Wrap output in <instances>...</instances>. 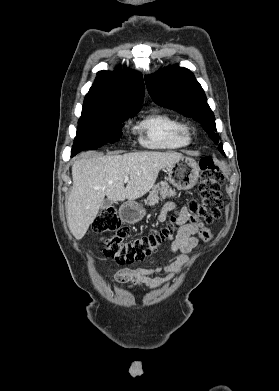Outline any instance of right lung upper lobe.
<instances>
[{
  "instance_id": "cb5924a9",
  "label": "right lung upper lobe",
  "mask_w": 279,
  "mask_h": 391,
  "mask_svg": "<svg viewBox=\"0 0 279 391\" xmlns=\"http://www.w3.org/2000/svg\"><path fill=\"white\" fill-rule=\"evenodd\" d=\"M144 97L142 75L117 67L115 71H100L86 94L82 113L140 109Z\"/></svg>"
}]
</instances>
